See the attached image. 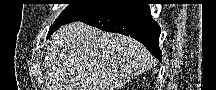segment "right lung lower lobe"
I'll list each match as a JSON object with an SVG mask.
<instances>
[{
	"instance_id": "right-lung-lower-lobe-1",
	"label": "right lung lower lobe",
	"mask_w": 216,
	"mask_h": 90,
	"mask_svg": "<svg viewBox=\"0 0 216 90\" xmlns=\"http://www.w3.org/2000/svg\"><path fill=\"white\" fill-rule=\"evenodd\" d=\"M101 30L131 36L161 61L160 27L146 4H118L95 16L80 20Z\"/></svg>"
}]
</instances>
